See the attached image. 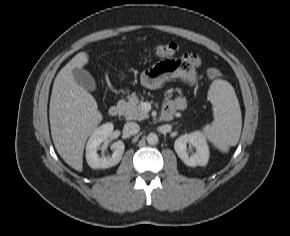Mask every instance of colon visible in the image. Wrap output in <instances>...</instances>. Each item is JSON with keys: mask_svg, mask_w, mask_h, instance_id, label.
I'll return each mask as SVG.
<instances>
[{"mask_svg": "<svg viewBox=\"0 0 290 236\" xmlns=\"http://www.w3.org/2000/svg\"><path fill=\"white\" fill-rule=\"evenodd\" d=\"M179 50V46L175 42H167L150 47L149 51L152 55L159 58L173 57ZM222 75L220 69L211 67L207 70V76L210 79L219 78Z\"/></svg>", "mask_w": 290, "mask_h": 236, "instance_id": "5ec220e1", "label": "colon"}]
</instances>
